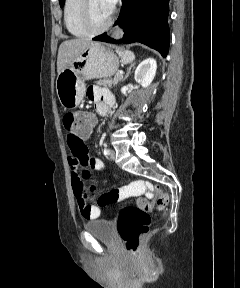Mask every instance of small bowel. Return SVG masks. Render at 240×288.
Instances as JSON below:
<instances>
[{
    "mask_svg": "<svg viewBox=\"0 0 240 288\" xmlns=\"http://www.w3.org/2000/svg\"><path fill=\"white\" fill-rule=\"evenodd\" d=\"M86 95L90 101L95 104L99 114L105 115L114 105V96L106 89L99 86H90L87 88ZM88 137L68 136V145L72 151V156L69 158V166L71 169V183L76 197L77 205L83 218L94 220L101 216L102 208L99 205L93 204L91 198L94 195V188L88 187L85 184V179L90 175V169L104 171L105 164L99 158H93L89 155L87 147L84 143ZM134 184L122 187L119 189L121 199L131 195Z\"/></svg>",
    "mask_w": 240,
    "mask_h": 288,
    "instance_id": "small-bowel-1",
    "label": "small bowel"
}]
</instances>
